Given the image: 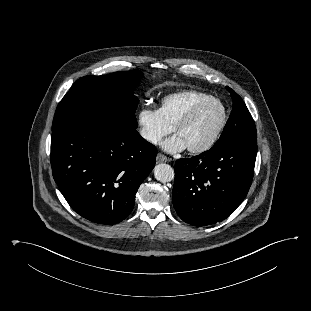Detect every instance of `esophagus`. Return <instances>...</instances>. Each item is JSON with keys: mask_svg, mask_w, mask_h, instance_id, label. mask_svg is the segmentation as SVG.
<instances>
[{"mask_svg": "<svg viewBox=\"0 0 311 311\" xmlns=\"http://www.w3.org/2000/svg\"><path fill=\"white\" fill-rule=\"evenodd\" d=\"M156 160H157V162H169L170 161V159L168 158V157H166V156H164L163 154H161V153H158L157 154V157H156Z\"/></svg>", "mask_w": 311, "mask_h": 311, "instance_id": "1", "label": "esophagus"}]
</instances>
